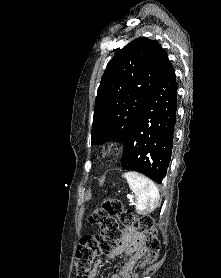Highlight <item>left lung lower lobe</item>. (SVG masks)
I'll return each instance as SVG.
<instances>
[{"label":"left lung lower lobe","instance_id":"left-lung-lower-lobe-1","mask_svg":"<svg viewBox=\"0 0 221 278\" xmlns=\"http://www.w3.org/2000/svg\"><path fill=\"white\" fill-rule=\"evenodd\" d=\"M176 111L177 83L169 62L123 142V169L162 182L171 159Z\"/></svg>","mask_w":221,"mask_h":278}]
</instances>
